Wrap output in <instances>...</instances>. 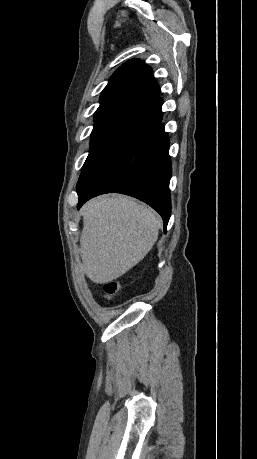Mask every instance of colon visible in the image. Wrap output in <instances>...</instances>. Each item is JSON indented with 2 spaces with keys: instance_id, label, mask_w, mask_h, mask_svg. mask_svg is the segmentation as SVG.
Segmentation results:
<instances>
[{
  "instance_id": "obj_1",
  "label": "colon",
  "mask_w": 257,
  "mask_h": 459,
  "mask_svg": "<svg viewBox=\"0 0 257 459\" xmlns=\"http://www.w3.org/2000/svg\"><path fill=\"white\" fill-rule=\"evenodd\" d=\"M120 289V284L117 281H108L104 284L103 290L106 299H111Z\"/></svg>"
}]
</instances>
